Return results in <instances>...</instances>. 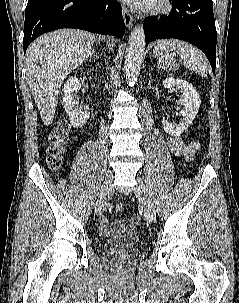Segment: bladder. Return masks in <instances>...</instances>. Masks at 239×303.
I'll use <instances>...</instances> for the list:
<instances>
[{
    "instance_id": "1",
    "label": "bladder",
    "mask_w": 239,
    "mask_h": 303,
    "mask_svg": "<svg viewBox=\"0 0 239 303\" xmlns=\"http://www.w3.org/2000/svg\"><path fill=\"white\" fill-rule=\"evenodd\" d=\"M140 241V236L138 233H125L121 234L117 237H113L105 241V244L108 247H124V248H132L136 246Z\"/></svg>"
}]
</instances>
